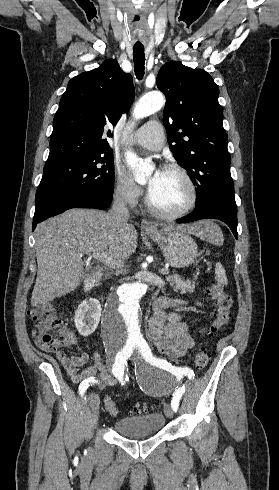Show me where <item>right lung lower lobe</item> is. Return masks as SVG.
<instances>
[{
    "instance_id": "98d812e1",
    "label": "right lung lower lobe",
    "mask_w": 279,
    "mask_h": 490,
    "mask_svg": "<svg viewBox=\"0 0 279 490\" xmlns=\"http://www.w3.org/2000/svg\"><path fill=\"white\" fill-rule=\"evenodd\" d=\"M112 195H97L89 192H59L42 196L35 201L36 208L32 224V230L39 222L49 217L60 214L71 208H96L105 209L109 207Z\"/></svg>"
}]
</instances>
